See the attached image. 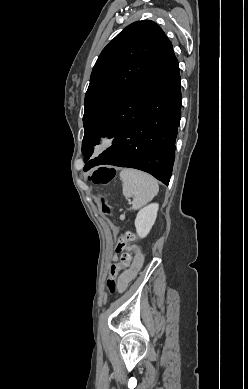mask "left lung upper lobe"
<instances>
[{"instance_id": "1", "label": "left lung upper lobe", "mask_w": 248, "mask_h": 389, "mask_svg": "<svg viewBox=\"0 0 248 389\" xmlns=\"http://www.w3.org/2000/svg\"><path fill=\"white\" fill-rule=\"evenodd\" d=\"M170 46L158 24L143 20L127 26L103 49L85 95V162L98 144L105 118Z\"/></svg>"}]
</instances>
